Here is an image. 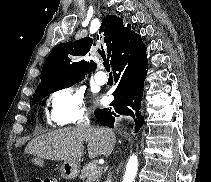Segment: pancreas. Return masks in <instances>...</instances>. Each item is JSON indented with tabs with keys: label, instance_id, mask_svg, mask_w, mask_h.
Here are the masks:
<instances>
[{
	"label": "pancreas",
	"instance_id": "1",
	"mask_svg": "<svg viewBox=\"0 0 211 182\" xmlns=\"http://www.w3.org/2000/svg\"><path fill=\"white\" fill-rule=\"evenodd\" d=\"M101 169L94 160L88 165L84 166L81 170L79 179L83 182H100Z\"/></svg>",
	"mask_w": 211,
	"mask_h": 182
}]
</instances>
